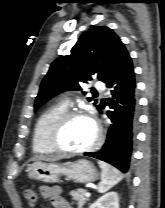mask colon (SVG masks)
Wrapping results in <instances>:
<instances>
[{"instance_id":"1","label":"colon","mask_w":165,"mask_h":208,"mask_svg":"<svg viewBox=\"0 0 165 208\" xmlns=\"http://www.w3.org/2000/svg\"><path fill=\"white\" fill-rule=\"evenodd\" d=\"M24 196L27 201V204L30 207H34L37 204L38 195L33 190H30V189L25 190Z\"/></svg>"}]
</instances>
